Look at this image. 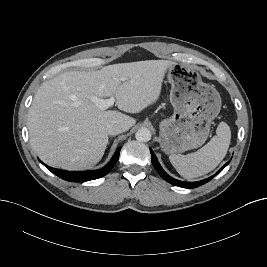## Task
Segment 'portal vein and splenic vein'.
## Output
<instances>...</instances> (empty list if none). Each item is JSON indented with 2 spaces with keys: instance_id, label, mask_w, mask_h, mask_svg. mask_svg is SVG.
Instances as JSON below:
<instances>
[{
  "instance_id": "18ae733b",
  "label": "portal vein and splenic vein",
  "mask_w": 267,
  "mask_h": 267,
  "mask_svg": "<svg viewBox=\"0 0 267 267\" xmlns=\"http://www.w3.org/2000/svg\"><path fill=\"white\" fill-rule=\"evenodd\" d=\"M92 101L101 109L106 110L114 105L115 98L112 96L109 99H100L93 97Z\"/></svg>"
}]
</instances>
